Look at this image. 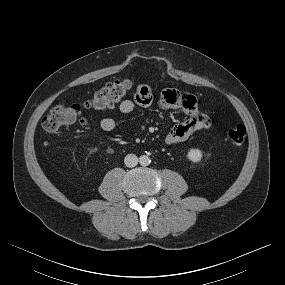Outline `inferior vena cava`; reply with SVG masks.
I'll return each instance as SVG.
<instances>
[{
  "instance_id": "602c4592",
  "label": "inferior vena cava",
  "mask_w": 285,
  "mask_h": 285,
  "mask_svg": "<svg viewBox=\"0 0 285 285\" xmlns=\"http://www.w3.org/2000/svg\"><path fill=\"white\" fill-rule=\"evenodd\" d=\"M124 163L127 167H135L138 164V158L135 154H128L124 159Z\"/></svg>"
}]
</instances>
